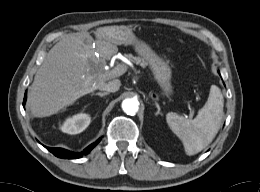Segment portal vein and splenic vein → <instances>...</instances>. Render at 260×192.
I'll return each mask as SVG.
<instances>
[{
  "mask_svg": "<svg viewBox=\"0 0 260 192\" xmlns=\"http://www.w3.org/2000/svg\"><path fill=\"white\" fill-rule=\"evenodd\" d=\"M127 71V67L123 64H119L114 67L112 70L106 72L109 77H118L123 75Z\"/></svg>",
  "mask_w": 260,
  "mask_h": 192,
  "instance_id": "portal-vein-and-splenic-vein-1",
  "label": "portal vein and splenic vein"
}]
</instances>
